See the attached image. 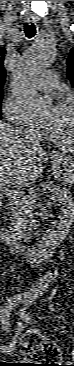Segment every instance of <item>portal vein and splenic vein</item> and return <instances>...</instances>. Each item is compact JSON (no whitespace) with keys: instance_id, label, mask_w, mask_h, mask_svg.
Wrapping results in <instances>:
<instances>
[{"instance_id":"portal-vein-and-splenic-vein-1","label":"portal vein and splenic vein","mask_w":74,"mask_h":366,"mask_svg":"<svg viewBox=\"0 0 74 366\" xmlns=\"http://www.w3.org/2000/svg\"><path fill=\"white\" fill-rule=\"evenodd\" d=\"M3 192L4 194L9 198V199H13V200H19V199H26L27 196L25 195L24 192L22 191H17V190H12L10 188L7 187H3ZM45 198H39V200H43ZM47 200H51V198H48Z\"/></svg>"}]
</instances>
